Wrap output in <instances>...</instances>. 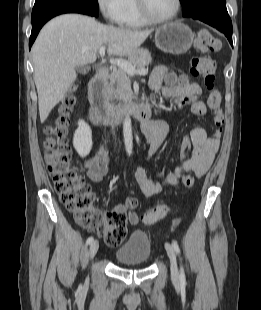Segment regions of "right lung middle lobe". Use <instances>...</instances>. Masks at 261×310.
<instances>
[{
	"instance_id": "right-lung-middle-lobe-1",
	"label": "right lung middle lobe",
	"mask_w": 261,
	"mask_h": 310,
	"mask_svg": "<svg viewBox=\"0 0 261 310\" xmlns=\"http://www.w3.org/2000/svg\"><path fill=\"white\" fill-rule=\"evenodd\" d=\"M60 5L76 6L88 9L95 14V17H97L99 13L97 0H36L32 10V15H35L45 8Z\"/></svg>"
}]
</instances>
